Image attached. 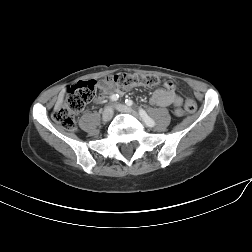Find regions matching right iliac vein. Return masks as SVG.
<instances>
[{
  "instance_id": "obj_1",
  "label": "right iliac vein",
  "mask_w": 252,
  "mask_h": 252,
  "mask_svg": "<svg viewBox=\"0 0 252 252\" xmlns=\"http://www.w3.org/2000/svg\"><path fill=\"white\" fill-rule=\"evenodd\" d=\"M112 116H113V108L111 106H107L102 113V121L104 123H107L111 120Z\"/></svg>"
}]
</instances>
